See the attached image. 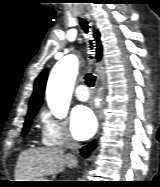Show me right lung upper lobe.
<instances>
[{"label":"right lung upper lobe","instance_id":"right-lung-upper-lobe-1","mask_svg":"<svg viewBox=\"0 0 160 187\" xmlns=\"http://www.w3.org/2000/svg\"><path fill=\"white\" fill-rule=\"evenodd\" d=\"M94 37L97 42V59L100 60L102 56V47L100 45V39H99L100 34L98 31H95ZM46 81H47V70L44 69L35 81L34 92L29 102L28 112L33 110H38L42 105V99L44 95Z\"/></svg>","mask_w":160,"mask_h":187}]
</instances>
